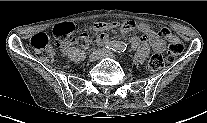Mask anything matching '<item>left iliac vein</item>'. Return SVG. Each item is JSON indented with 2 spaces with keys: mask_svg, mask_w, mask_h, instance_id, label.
I'll return each mask as SVG.
<instances>
[{
  "mask_svg": "<svg viewBox=\"0 0 207 123\" xmlns=\"http://www.w3.org/2000/svg\"><path fill=\"white\" fill-rule=\"evenodd\" d=\"M102 57L115 58V55L111 51H109V50H104L102 52Z\"/></svg>",
  "mask_w": 207,
  "mask_h": 123,
  "instance_id": "left-iliac-vein-1",
  "label": "left iliac vein"
}]
</instances>
